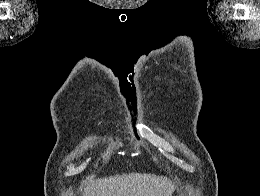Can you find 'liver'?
Returning a JSON list of instances; mask_svg holds the SVG:
<instances>
[{
	"label": "liver",
	"mask_w": 260,
	"mask_h": 196,
	"mask_svg": "<svg viewBox=\"0 0 260 196\" xmlns=\"http://www.w3.org/2000/svg\"><path fill=\"white\" fill-rule=\"evenodd\" d=\"M174 184L155 174H122L90 180L83 196H172Z\"/></svg>",
	"instance_id": "6515ba94"
}]
</instances>
